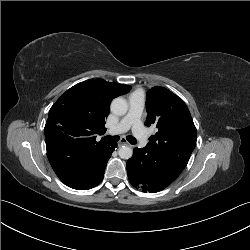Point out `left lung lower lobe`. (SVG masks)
<instances>
[{"instance_id":"0a47b994","label":"left lung lower lobe","mask_w":250,"mask_h":250,"mask_svg":"<svg viewBox=\"0 0 250 250\" xmlns=\"http://www.w3.org/2000/svg\"><path fill=\"white\" fill-rule=\"evenodd\" d=\"M186 165L185 162L178 163L170 150L158 154L148 146L134 148L133 156L126 163L130 183L150 193L166 188Z\"/></svg>"}]
</instances>
